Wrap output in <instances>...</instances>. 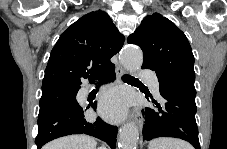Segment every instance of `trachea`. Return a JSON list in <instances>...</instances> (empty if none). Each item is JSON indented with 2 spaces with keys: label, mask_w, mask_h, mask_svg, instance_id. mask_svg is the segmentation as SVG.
Segmentation results:
<instances>
[{
  "label": "trachea",
  "mask_w": 227,
  "mask_h": 149,
  "mask_svg": "<svg viewBox=\"0 0 227 149\" xmlns=\"http://www.w3.org/2000/svg\"><path fill=\"white\" fill-rule=\"evenodd\" d=\"M122 79L124 81H128V82H139V83H141L137 78L130 76V75H127V74L123 75Z\"/></svg>",
  "instance_id": "3493384b"
}]
</instances>
